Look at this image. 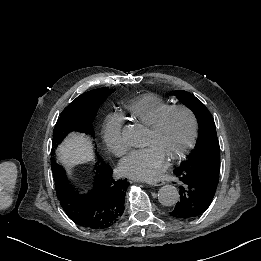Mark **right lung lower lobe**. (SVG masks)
I'll return each instance as SVG.
<instances>
[{
	"label": "right lung lower lobe",
	"mask_w": 261,
	"mask_h": 261,
	"mask_svg": "<svg viewBox=\"0 0 261 261\" xmlns=\"http://www.w3.org/2000/svg\"><path fill=\"white\" fill-rule=\"evenodd\" d=\"M91 191L79 195L66 182L63 171L55 178L57 197L68 217L88 229H105L115 224L124 212L126 180H115L111 167L97 163Z\"/></svg>",
	"instance_id": "1"
}]
</instances>
